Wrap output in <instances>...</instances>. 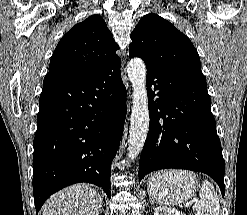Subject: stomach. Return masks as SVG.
Masks as SVG:
<instances>
[{"mask_svg":"<svg viewBox=\"0 0 247 215\" xmlns=\"http://www.w3.org/2000/svg\"><path fill=\"white\" fill-rule=\"evenodd\" d=\"M195 190V175L184 170L165 171L148 182L149 195L163 204L183 203L193 197Z\"/></svg>","mask_w":247,"mask_h":215,"instance_id":"1","label":"stomach"}]
</instances>
